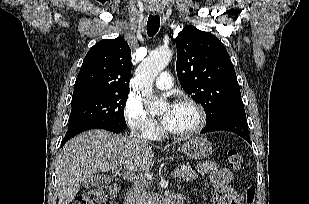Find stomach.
<instances>
[{"mask_svg": "<svg viewBox=\"0 0 309 204\" xmlns=\"http://www.w3.org/2000/svg\"><path fill=\"white\" fill-rule=\"evenodd\" d=\"M188 158L205 159L212 153V144L204 137H192L177 149Z\"/></svg>", "mask_w": 309, "mask_h": 204, "instance_id": "stomach-1", "label": "stomach"}]
</instances>
